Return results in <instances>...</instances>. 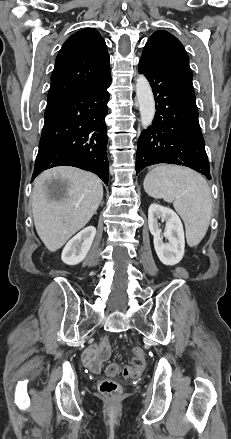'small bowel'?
<instances>
[{
    "mask_svg": "<svg viewBox=\"0 0 231 439\" xmlns=\"http://www.w3.org/2000/svg\"><path fill=\"white\" fill-rule=\"evenodd\" d=\"M98 348L99 344H93L82 353L83 364L93 372L99 371L101 366V359L98 357Z\"/></svg>",
    "mask_w": 231,
    "mask_h": 439,
    "instance_id": "small-bowel-1",
    "label": "small bowel"
}]
</instances>
